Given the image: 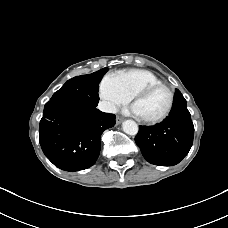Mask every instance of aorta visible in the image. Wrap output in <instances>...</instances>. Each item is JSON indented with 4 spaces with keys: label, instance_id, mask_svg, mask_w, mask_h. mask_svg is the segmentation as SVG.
<instances>
[{
    "label": "aorta",
    "instance_id": "762f6f07",
    "mask_svg": "<svg viewBox=\"0 0 228 228\" xmlns=\"http://www.w3.org/2000/svg\"><path fill=\"white\" fill-rule=\"evenodd\" d=\"M122 129L128 135H136L138 133V125L133 120H125L122 123Z\"/></svg>",
    "mask_w": 228,
    "mask_h": 228
}]
</instances>
